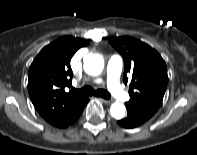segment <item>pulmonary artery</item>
Wrapping results in <instances>:
<instances>
[{
  "instance_id": "e3ab8cb5",
  "label": "pulmonary artery",
  "mask_w": 197,
  "mask_h": 155,
  "mask_svg": "<svg viewBox=\"0 0 197 155\" xmlns=\"http://www.w3.org/2000/svg\"><path fill=\"white\" fill-rule=\"evenodd\" d=\"M123 68V60L119 55H113L107 63V78L106 84L110 92L119 100H126L128 95L120 86V74ZM95 82L99 83L97 79Z\"/></svg>"
}]
</instances>
